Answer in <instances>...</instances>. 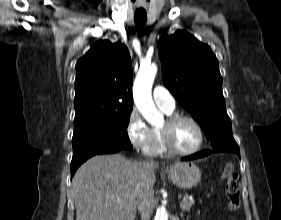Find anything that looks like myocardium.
Here are the masks:
<instances>
[{"label": "myocardium", "mask_w": 281, "mask_h": 220, "mask_svg": "<svg viewBox=\"0 0 281 220\" xmlns=\"http://www.w3.org/2000/svg\"><path fill=\"white\" fill-rule=\"evenodd\" d=\"M189 121L191 122L198 131L199 141L198 144L191 150L183 151L177 149L172 142V129L180 121ZM160 137L162 144L165 150L171 154L180 155V156H189L197 153L203 146L204 143V131L201 124L192 116L185 114H173L167 117L163 127L159 129Z\"/></svg>", "instance_id": "f54148a6"}]
</instances>
